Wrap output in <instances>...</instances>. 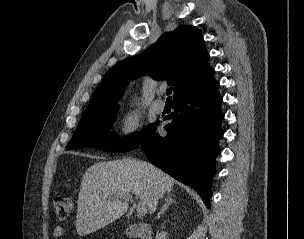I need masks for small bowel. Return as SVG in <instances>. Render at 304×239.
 <instances>
[{"label": "small bowel", "instance_id": "small-bowel-1", "mask_svg": "<svg viewBox=\"0 0 304 239\" xmlns=\"http://www.w3.org/2000/svg\"><path fill=\"white\" fill-rule=\"evenodd\" d=\"M63 231H64V229H63V227L62 226H57L56 228H55V230H54V232H53V238L54 239H59V238H61V236H62V234H63Z\"/></svg>", "mask_w": 304, "mask_h": 239}]
</instances>
